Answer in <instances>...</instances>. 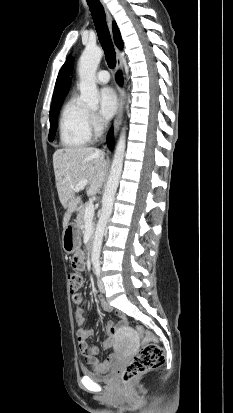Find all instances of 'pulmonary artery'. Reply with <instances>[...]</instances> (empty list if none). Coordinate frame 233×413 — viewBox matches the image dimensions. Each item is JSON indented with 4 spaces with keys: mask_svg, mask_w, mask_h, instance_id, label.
<instances>
[{
    "mask_svg": "<svg viewBox=\"0 0 233 413\" xmlns=\"http://www.w3.org/2000/svg\"><path fill=\"white\" fill-rule=\"evenodd\" d=\"M110 80V74L106 70H101L96 75V81L100 84H106Z\"/></svg>",
    "mask_w": 233,
    "mask_h": 413,
    "instance_id": "obj_1",
    "label": "pulmonary artery"
}]
</instances>
